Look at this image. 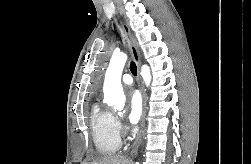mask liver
Masks as SVG:
<instances>
[{"label":"liver","mask_w":251,"mask_h":164,"mask_svg":"<svg viewBox=\"0 0 251 164\" xmlns=\"http://www.w3.org/2000/svg\"><path fill=\"white\" fill-rule=\"evenodd\" d=\"M86 164H129V160L123 156H105Z\"/></svg>","instance_id":"obj_1"}]
</instances>
